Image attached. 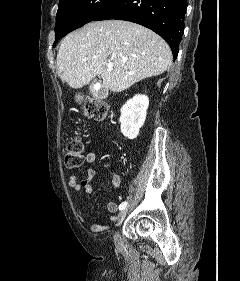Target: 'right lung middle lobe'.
<instances>
[{
	"label": "right lung middle lobe",
	"instance_id": "obj_1",
	"mask_svg": "<svg viewBox=\"0 0 240 281\" xmlns=\"http://www.w3.org/2000/svg\"><path fill=\"white\" fill-rule=\"evenodd\" d=\"M115 1L60 0L56 16L55 43L67 33L94 21Z\"/></svg>",
	"mask_w": 240,
	"mask_h": 281
}]
</instances>
